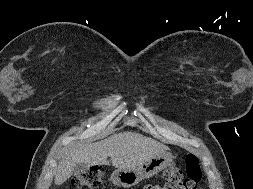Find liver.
Segmentation results:
<instances>
[{
    "mask_svg": "<svg viewBox=\"0 0 253 189\" xmlns=\"http://www.w3.org/2000/svg\"><path fill=\"white\" fill-rule=\"evenodd\" d=\"M169 148L142 134L123 132L89 144H79L66 148L61 156L55 172L54 183L58 186L67 181L76 164L108 165V157L112 166L118 169H133L151 160Z\"/></svg>",
    "mask_w": 253,
    "mask_h": 189,
    "instance_id": "liver-1",
    "label": "liver"
}]
</instances>
